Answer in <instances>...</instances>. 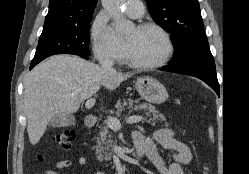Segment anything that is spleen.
Masks as SVG:
<instances>
[{"mask_svg":"<svg viewBox=\"0 0 249 174\" xmlns=\"http://www.w3.org/2000/svg\"><path fill=\"white\" fill-rule=\"evenodd\" d=\"M208 131H209V137H210L211 141H213V138H214L213 128L209 127Z\"/></svg>","mask_w":249,"mask_h":174,"instance_id":"obj_1","label":"spleen"}]
</instances>
